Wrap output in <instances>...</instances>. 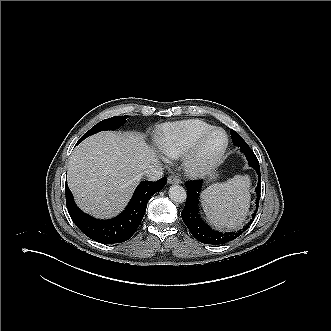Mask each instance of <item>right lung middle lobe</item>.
<instances>
[{
    "instance_id": "dd1d6c3e",
    "label": "right lung middle lobe",
    "mask_w": 331,
    "mask_h": 331,
    "mask_svg": "<svg viewBox=\"0 0 331 331\" xmlns=\"http://www.w3.org/2000/svg\"><path fill=\"white\" fill-rule=\"evenodd\" d=\"M127 118H128V116H115V117L105 119V120L97 123L88 132H86V134L83 135L79 141L81 142L82 140L89 137L90 135H93V134L98 133L103 130L117 129L126 122Z\"/></svg>"
}]
</instances>
